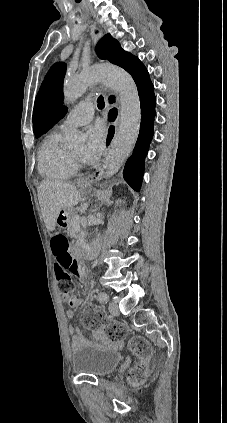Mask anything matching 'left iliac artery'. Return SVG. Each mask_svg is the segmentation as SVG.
<instances>
[{"mask_svg": "<svg viewBox=\"0 0 227 423\" xmlns=\"http://www.w3.org/2000/svg\"><path fill=\"white\" fill-rule=\"evenodd\" d=\"M98 298H99L100 302H107L108 301V295L106 293H100Z\"/></svg>", "mask_w": 227, "mask_h": 423, "instance_id": "1", "label": "left iliac artery"}]
</instances>
